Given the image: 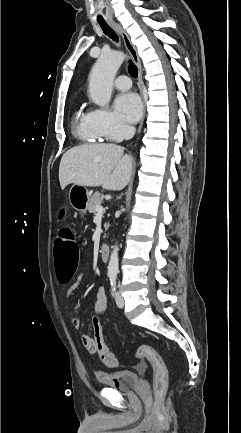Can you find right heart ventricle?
Here are the masks:
<instances>
[{
    "mask_svg": "<svg viewBox=\"0 0 241 433\" xmlns=\"http://www.w3.org/2000/svg\"><path fill=\"white\" fill-rule=\"evenodd\" d=\"M73 132L78 139L84 142L96 143L105 139L94 125L92 111L84 107L78 108L74 115Z\"/></svg>",
    "mask_w": 241,
    "mask_h": 433,
    "instance_id": "right-heart-ventricle-1",
    "label": "right heart ventricle"
}]
</instances>
